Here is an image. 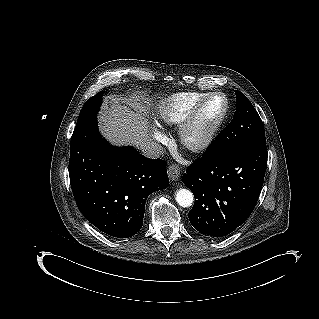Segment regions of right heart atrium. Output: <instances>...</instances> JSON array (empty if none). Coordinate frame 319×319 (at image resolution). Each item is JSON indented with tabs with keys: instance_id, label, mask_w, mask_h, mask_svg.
Returning <instances> with one entry per match:
<instances>
[{
	"instance_id": "d8ad5b80",
	"label": "right heart atrium",
	"mask_w": 319,
	"mask_h": 319,
	"mask_svg": "<svg viewBox=\"0 0 319 319\" xmlns=\"http://www.w3.org/2000/svg\"><path fill=\"white\" fill-rule=\"evenodd\" d=\"M155 135H156V139L158 140V139L160 138V136H161V133L158 132V131H156V132H155Z\"/></svg>"
}]
</instances>
